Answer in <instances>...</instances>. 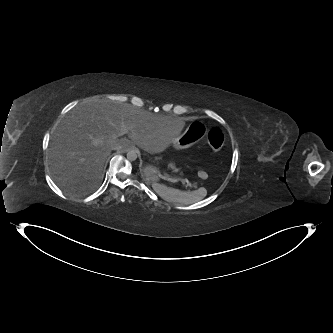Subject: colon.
<instances>
[{
    "label": "colon",
    "instance_id": "obj_1",
    "mask_svg": "<svg viewBox=\"0 0 333 333\" xmlns=\"http://www.w3.org/2000/svg\"><path fill=\"white\" fill-rule=\"evenodd\" d=\"M207 141L214 152H219L224 143V135L221 129L218 127L211 128L207 135ZM198 176L204 179L206 177V172L201 170L198 172Z\"/></svg>",
    "mask_w": 333,
    "mask_h": 333
}]
</instances>
